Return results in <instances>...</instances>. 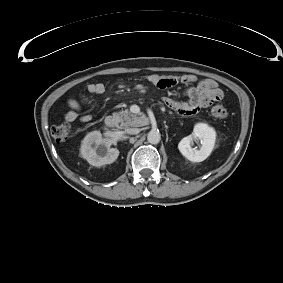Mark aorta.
<instances>
[{"label":"aorta","mask_w":283,"mask_h":283,"mask_svg":"<svg viewBox=\"0 0 283 283\" xmlns=\"http://www.w3.org/2000/svg\"><path fill=\"white\" fill-rule=\"evenodd\" d=\"M147 140L150 144H158L161 140V134L157 130H151L147 134Z\"/></svg>","instance_id":"obj_1"}]
</instances>
